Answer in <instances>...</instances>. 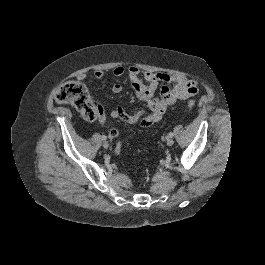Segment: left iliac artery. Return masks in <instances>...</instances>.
<instances>
[{
	"label": "left iliac artery",
	"mask_w": 265,
	"mask_h": 265,
	"mask_svg": "<svg viewBox=\"0 0 265 265\" xmlns=\"http://www.w3.org/2000/svg\"><path fill=\"white\" fill-rule=\"evenodd\" d=\"M169 136H170V137H173V136H174V134H173L172 132H170V133H169Z\"/></svg>",
	"instance_id": "left-iliac-artery-1"
}]
</instances>
